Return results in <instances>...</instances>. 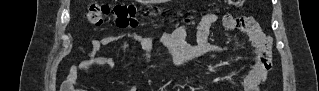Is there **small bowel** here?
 Wrapping results in <instances>:
<instances>
[{
	"instance_id": "small-bowel-1",
	"label": "small bowel",
	"mask_w": 319,
	"mask_h": 91,
	"mask_svg": "<svg viewBox=\"0 0 319 91\" xmlns=\"http://www.w3.org/2000/svg\"><path fill=\"white\" fill-rule=\"evenodd\" d=\"M217 19V14L208 13L198 21L194 27L195 44L187 42L189 28L185 26H180L172 34L162 37L174 65L198 62L205 56L223 54L228 50L225 46L209 41L211 28ZM223 26L227 30L239 31L251 45L254 52L253 63L242 79V90L258 91L268 73V68L262 60V52L267 45L269 46L268 37L263 33L255 20L249 17L225 15L223 17ZM151 38V36L130 31L125 34L107 35L95 39L92 43L90 56L72 67L69 75L70 81H75L79 72L85 69L113 67L116 63L113 57L97 55V52L115 42H118L123 53L128 55L131 47L127 39L135 40L144 54V61H150L153 53ZM127 91H136V87L131 86Z\"/></svg>"
}]
</instances>
